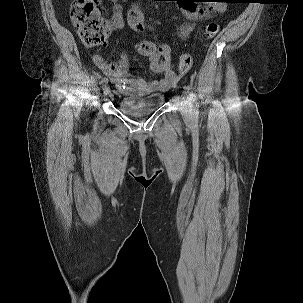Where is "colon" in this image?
Listing matches in <instances>:
<instances>
[{"label":"colon","instance_id":"colon-1","mask_svg":"<svg viewBox=\"0 0 303 303\" xmlns=\"http://www.w3.org/2000/svg\"><path fill=\"white\" fill-rule=\"evenodd\" d=\"M71 20L77 28L82 43L87 47H98L102 45L110 31L108 25L101 16L99 0H72ZM219 31L216 22H209L205 28V37L214 38ZM168 55L162 57L163 63H168ZM192 64V57L189 54L181 55L178 62V70L185 73Z\"/></svg>","mask_w":303,"mask_h":303}]
</instances>
